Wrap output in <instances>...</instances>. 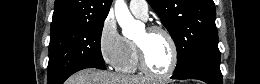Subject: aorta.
Wrapping results in <instances>:
<instances>
[{
  "mask_svg": "<svg viewBox=\"0 0 260 84\" xmlns=\"http://www.w3.org/2000/svg\"><path fill=\"white\" fill-rule=\"evenodd\" d=\"M114 7L115 17L118 24L122 28L123 35L126 37H131L134 30L139 28L141 23L133 18L123 0H116Z\"/></svg>",
  "mask_w": 260,
  "mask_h": 84,
  "instance_id": "aorta-1",
  "label": "aorta"
}]
</instances>
